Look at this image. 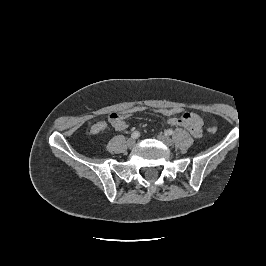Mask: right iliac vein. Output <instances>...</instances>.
<instances>
[{
  "label": "right iliac vein",
  "mask_w": 266,
  "mask_h": 266,
  "mask_svg": "<svg viewBox=\"0 0 266 266\" xmlns=\"http://www.w3.org/2000/svg\"><path fill=\"white\" fill-rule=\"evenodd\" d=\"M135 143H136V140H135L134 138H129V139L127 140V142H126V145H127L129 148H132V147H134Z\"/></svg>",
  "instance_id": "obj_1"
}]
</instances>
